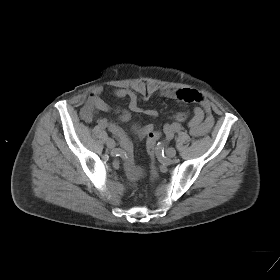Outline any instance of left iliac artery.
Instances as JSON below:
<instances>
[{"mask_svg":"<svg viewBox=\"0 0 280 280\" xmlns=\"http://www.w3.org/2000/svg\"><path fill=\"white\" fill-rule=\"evenodd\" d=\"M181 131V125L177 122L173 123L170 126V133L173 135L174 133H179Z\"/></svg>","mask_w":280,"mask_h":280,"instance_id":"left-iliac-artery-1","label":"left iliac artery"}]
</instances>
